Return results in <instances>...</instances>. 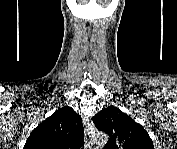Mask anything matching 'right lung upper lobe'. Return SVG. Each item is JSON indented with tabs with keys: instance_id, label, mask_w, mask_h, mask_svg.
<instances>
[{
	"instance_id": "cb5924a9",
	"label": "right lung upper lobe",
	"mask_w": 177,
	"mask_h": 149,
	"mask_svg": "<svg viewBox=\"0 0 177 149\" xmlns=\"http://www.w3.org/2000/svg\"><path fill=\"white\" fill-rule=\"evenodd\" d=\"M81 116L65 106L39 124L28 137L25 149H76L84 144Z\"/></svg>"
}]
</instances>
